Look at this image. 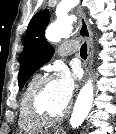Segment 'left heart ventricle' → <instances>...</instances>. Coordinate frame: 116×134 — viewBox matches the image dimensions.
I'll list each match as a JSON object with an SVG mask.
<instances>
[{"instance_id":"obj_1","label":"left heart ventricle","mask_w":116,"mask_h":134,"mask_svg":"<svg viewBox=\"0 0 116 134\" xmlns=\"http://www.w3.org/2000/svg\"><path fill=\"white\" fill-rule=\"evenodd\" d=\"M45 105L49 110L55 113H60L68 106L62 99L56 81L52 82L44 96Z\"/></svg>"}]
</instances>
